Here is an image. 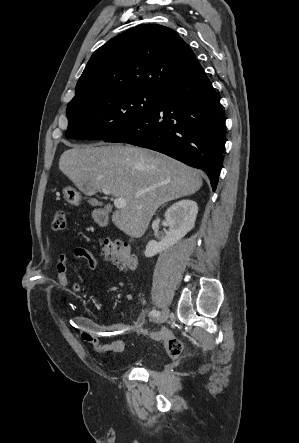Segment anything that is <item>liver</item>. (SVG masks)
Returning <instances> with one entry per match:
<instances>
[{
	"instance_id": "obj_1",
	"label": "liver",
	"mask_w": 299,
	"mask_h": 443,
	"mask_svg": "<svg viewBox=\"0 0 299 443\" xmlns=\"http://www.w3.org/2000/svg\"><path fill=\"white\" fill-rule=\"evenodd\" d=\"M59 169L86 195L105 188L124 198L126 207L113 212L112 221L136 238L145 233L160 206L194 194L203 183L196 169L133 146H74L60 156ZM104 211L111 213L112 205Z\"/></svg>"
}]
</instances>
